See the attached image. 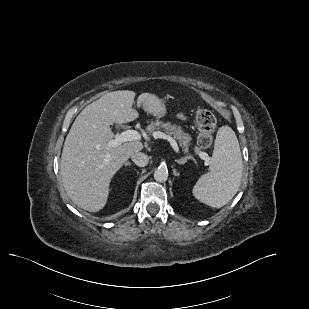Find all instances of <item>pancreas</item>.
Instances as JSON below:
<instances>
[{
    "instance_id": "cf45deb5",
    "label": "pancreas",
    "mask_w": 309,
    "mask_h": 309,
    "mask_svg": "<svg viewBox=\"0 0 309 309\" xmlns=\"http://www.w3.org/2000/svg\"><path fill=\"white\" fill-rule=\"evenodd\" d=\"M149 134H153L157 130H164L166 134L172 136L178 141L179 145L182 147L184 153L189 152V147L191 145V136L183 131L180 126L172 125L170 122H162L160 120L152 121L146 128ZM194 152L200 155L201 151L199 147L194 148Z\"/></svg>"
}]
</instances>
